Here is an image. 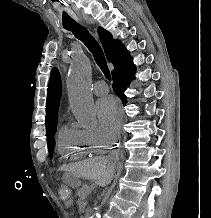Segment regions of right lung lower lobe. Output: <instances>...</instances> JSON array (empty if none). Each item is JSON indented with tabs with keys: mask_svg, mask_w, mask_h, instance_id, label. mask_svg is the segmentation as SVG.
Here are the masks:
<instances>
[{
	"mask_svg": "<svg viewBox=\"0 0 211 218\" xmlns=\"http://www.w3.org/2000/svg\"><path fill=\"white\" fill-rule=\"evenodd\" d=\"M112 79L113 90L116 95L120 99L126 98L124 91L131 83V80L135 79V66L133 65L130 57L114 66Z\"/></svg>",
	"mask_w": 211,
	"mask_h": 218,
	"instance_id": "right-lung-lower-lobe-1",
	"label": "right lung lower lobe"
}]
</instances>
